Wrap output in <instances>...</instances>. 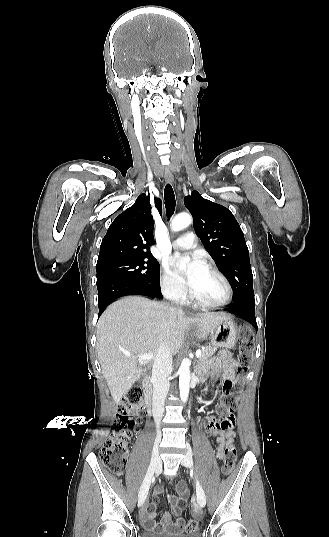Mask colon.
<instances>
[{
  "label": "colon",
  "mask_w": 329,
  "mask_h": 537,
  "mask_svg": "<svg viewBox=\"0 0 329 537\" xmlns=\"http://www.w3.org/2000/svg\"><path fill=\"white\" fill-rule=\"evenodd\" d=\"M238 355V376L234 382L233 390L228 395H221L217 414L222 417L221 423L217 427L223 431L232 429L234 426L233 412L237 408L239 394L245 385V379L254 358V337L250 330H244L240 334ZM142 411V390L133 387L121 398L118 405V412L113 424L110 436L103 443L100 450V460L112 473L121 474L127 463V454L131 434L136 431L141 421ZM237 448L232 442L225 448V457L222 467L224 475H229L236 463ZM198 521L188 519L184 521L187 532L196 534L198 532Z\"/></svg>",
  "instance_id": "1"
}]
</instances>
